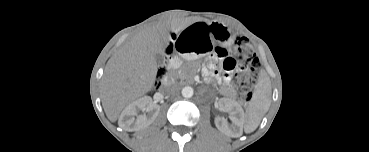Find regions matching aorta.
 Returning a JSON list of instances; mask_svg holds the SVG:
<instances>
[{
  "instance_id": "1",
  "label": "aorta",
  "mask_w": 369,
  "mask_h": 152,
  "mask_svg": "<svg viewBox=\"0 0 369 152\" xmlns=\"http://www.w3.org/2000/svg\"><path fill=\"white\" fill-rule=\"evenodd\" d=\"M182 96L185 97V98H191L194 94V90L192 87L190 86H185L182 91Z\"/></svg>"
}]
</instances>
